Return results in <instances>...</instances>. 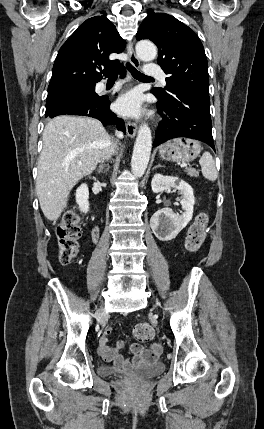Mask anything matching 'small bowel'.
<instances>
[{
    "label": "small bowel",
    "mask_w": 264,
    "mask_h": 429,
    "mask_svg": "<svg viewBox=\"0 0 264 429\" xmlns=\"http://www.w3.org/2000/svg\"><path fill=\"white\" fill-rule=\"evenodd\" d=\"M99 231L94 228L91 232V239L96 242L98 239ZM111 334V329H107L99 341V353L107 361H112L114 364L123 369H129L132 365L140 366L143 364H149L156 361L162 352V346L159 343H152L148 347H144L140 344H132L130 351L133 354L132 363L125 359L121 354L120 350L125 347L123 341H118L115 346H108V336Z\"/></svg>",
    "instance_id": "c3829d8e"
}]
</instances>
